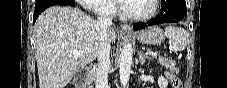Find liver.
I'll return each instance as SVG.
<instances>
[{
  "label": "liver",
  "instance_id": "liver-1",
  "mask_svg": "<svg viewBox=\"0 0 227 88\" xmlns=\"http://www.w3.org/2000/svg\"><path fill=\"white\" fill-rule=\"evenodd\" d=\"M36 61L40 88H64L98 53L96 21L78 8L53 6L40 14L35 23ZM109 42L116 40L113 28ZM73 50H88L74 58Z\"/></svg>",
  "mask_w": 227,
  "mask_h": 88
}]
</instances>
